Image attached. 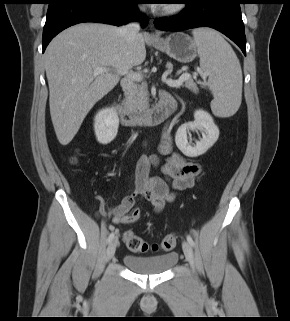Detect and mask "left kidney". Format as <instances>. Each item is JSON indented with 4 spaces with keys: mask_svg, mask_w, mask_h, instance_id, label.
<instances>
[{
    "mask_svg": "<svg viewBox=\"0 0 290 321\" xmlns=\"http://www.w3.org/2000/svg\"><path fill=\"white\" fill-rule=\"evenodd\" d=\"M199 130L202 138L195 145L188 142L189 131ZM219 129L215 125L212 116L204 110L194 112V121L181 125L175 136V142L179 150L188 157H197L204 154L218 140Z\"/></svg>",
    "mask_w": 290,
    "mask_h": 321,
    "instance_id": "1",
    "label": "left kidney"
}]
</instances>
